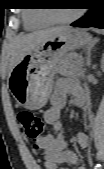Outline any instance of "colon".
Listing matches in <instances>:
<instances>
[{"mask_svg":"<svg viewBox=\"0 0 104 169\" xmlns=\"http://www.w3.org/2000/svg\"><path fill=\"white\" fill-rule=\"evenodd\" d=\"M17 120L28 139L36 141L42 136L45 125L43 120L35 113L22 110L18 113Z\"/></svg>","mask_w":104,"mask_h":169,"instance_id":"colon-1","label":"colon"}]
</instances>
